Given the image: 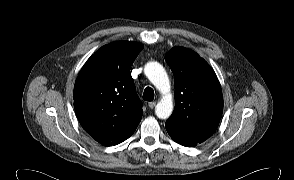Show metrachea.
Returning a JSON list of instances; mask_svg holds the SVG:
<instances>
[{"instance_id":"3493384b","label":"trachea","mask_w":294,"mask_h":180,"mask_svg":"<svg viewBox=\"0 0 294 180\" xmlns=\"http://www.w3.org/2000/svg\"><path fill=\"white\" fill-rule=\"evenodd\" d=\"M143 99L146 101H153L154 90L151 87H146L143 93Z\"/></svg>"}]
</instances>
